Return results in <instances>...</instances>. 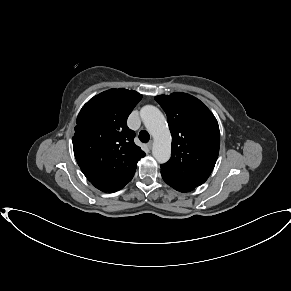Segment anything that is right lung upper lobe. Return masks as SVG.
<instances>
[{
	"instance_id": "right-lung-upper-lobe-1",
	"label": "right lung upper lobe",
	"mask_w": 291,
	"mask_h": 291,
	"mask_svg": "<svg viewBox=\"0 0 291 291\" xmlns=\"http://www.w3.org/2000/svg\"><path fill=\"white\" fill-rule=\"evenodd\" d=\"M141 99L133 90L110 89L82 107L72 141L77 163L89 181L123 177L145 156L127 127V118Z\"/></svg>"
}]
</instances>
